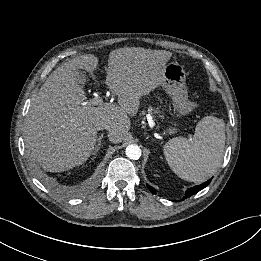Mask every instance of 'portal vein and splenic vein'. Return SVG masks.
<instances>
[{
  "instance_id": "1",
  "label": "portal vein and splenic vein",
  "mask_w": 261,
  "mask_h": 261,
  "mask_svg": "<svg viewBox=\"0 0 261 261\" xmlns=\"http://www.w3.org/2000/svg\"><path fill=\"white\" fill-rule=\"evenodd\" d=\"M101 104H103V100H102V98H100V97H95V98H93V99L90 101V103H89V105H93V106H97V105H101Z\"/></svg>"
}]
</instances>
